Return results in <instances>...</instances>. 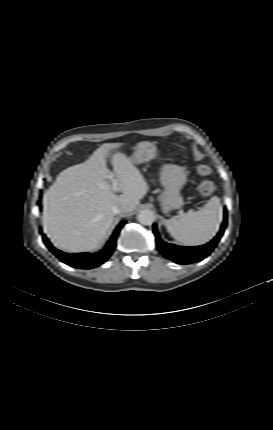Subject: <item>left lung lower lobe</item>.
Here are the masks:
<instances>
[{
    "instance_id": "0a47b994",
    "label": "left lung lower lobe",
    "mask_w": 273,
    "mask_h": 430,
    "mask_svg": "<svg viewBox=\"0 0 273 430\" xmlns=\"http://www.w3.org/2000/svg\"><path fill=\"white\" fill-rule=\"evenodd\" d=\"M227 226V212L224 213V220L222 226L220 228L217 236L209 243L196 246V247H184L177 246L173 244H168L161 240L158 231L157 225H153V233L156 237V243L158 250L168 259L178 263V264H190L194 262H199L206 258L216 247L219 242L221 236L224 233V230Z\"/></svg>"
}]
</instances>
